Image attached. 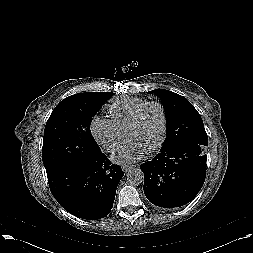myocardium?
Returning <instances> with one entry per match:
<instances>
[{
    "mask_svg": "<svg viewBox=\"0 0 253 253\" xmlns=\"http://www.w3.org/2000/svg\"><path fill=\"white\" fill-rule=\"evenodd\" d=\"M150 106H156L158 107V109L160 110L161 113V117H162V125H161V131L159 134V137L157 139V141L155 142V144H153L148 150V153H152L154 151H156L158 148H160V146L162 145L164 139H165V135H166V130H167V114H166V110L165 107L163 106V104L159 101H148L146 103H144L132 116V118L130 119V121L128 122V124L125 127V132L131 128H133L137 122L139 121L140 117L142 116L143 112Z\"/></svg>",
    "mask_w": 253,
    "mask_h": 253,
    "instance_id": "1",
    "label": "myocardium"
}]
</instances>
